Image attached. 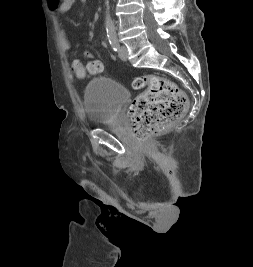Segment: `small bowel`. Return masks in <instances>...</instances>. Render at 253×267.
Here are the masks:
<instances>
[{"label":"small bowel","mask_w":253,"mask_h":267,"mask_svg":"<svg viewBox=\"0 0 253 267\" xmlns=\"http://www.w3.org/2000/svg\"><path fill=\"white\" fill-rule=\"evenodd\" d=\"M76 1L77 0H47V3L49 8L60 18L74 6ZM59 40L62 50L68 51L70 49V42L61 22L59 23Z\"/></svg>","instance_id":"obj_1"}]
</instances>
